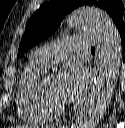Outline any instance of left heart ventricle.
<instances>
[{
    "instance_id": "1",
    "label": "left heart ventricle",
    "mask_w": 125,
    "mask_h": 128,
    "mask_svg": "<svg viewBox=\"0 0 125 128\" xmlns=\"http://www.w3.org/2000/svg\"><path fill=\"white\" fill-rule=\"evenodd\" d=\"M43 89L47 96L58 103L64 104L65 102L61 99L58 93V85L56 78H47L43 81Z\"/></svg>"
}]
</instances>
